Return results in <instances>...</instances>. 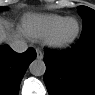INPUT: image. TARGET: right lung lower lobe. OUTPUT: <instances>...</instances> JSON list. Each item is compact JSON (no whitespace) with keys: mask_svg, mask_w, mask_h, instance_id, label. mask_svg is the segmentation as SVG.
<instances>
[{"mask_svg":"<svg viewBox=\"0 0 95 95\" xmlns=\"http://www.w3.org/2000/svg\"><path fill=\"white\" fill-rule=\"evenodd\" d=\"M35 58L36 52L33 48L20 54L7 45L0 47V95L18 94L20 82Z\"/></svg>","mask_w":95,"mask_h":95,"instance_id":"1","label":"right lung lower lobe"}]
</instances>
